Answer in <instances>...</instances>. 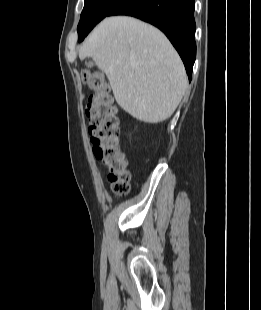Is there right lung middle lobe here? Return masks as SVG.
I'll use <instances>...</instances> for the list:
<instances>
[{"mask_svg":"<svg viewBox=\"0 0 261 310\" xmlns=\"http://www.w3.org/2000/svg\"><path fill=\"white\" fill-rule=\"evenodd\" d=\"M124 0H85L84 8L78 24V41L88 29H91L100 22Z\"/></svg>","mask_w":261,"mask_h":310,"instance_id":"1","label":"right lung middle lobe"}]
</instances>
